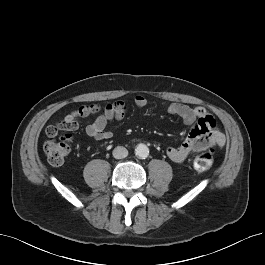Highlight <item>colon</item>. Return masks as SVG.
Instances as JSON below:
<instances>
[{"mask_svg":"<svg viewBox=\"0 0 265 265\" xmlns=\"http://www.w3.org/2000/svg\"><path fill=\"white\" fill-rule=\"evenodd\" d=\"M101 109L102 107L96 104L83 106L76 111V116H89L99 112ZM106 109L107 107L104 108V111ZM75 126V118L66 116L56 124L47 127L46 134L48 136V140L44 144V153L51 165H62L70 151L68 144L70 136L64 135L58 138L59 132L73 130ZM213 162L214 154L211 150H207L201 152L195 157L193 165L198 172H206L212 167Z\"/></svg>","mask_w":265,"mask_h":265,"instance_id":"1","label":"colon"}]
</instances>
